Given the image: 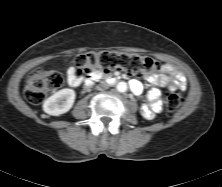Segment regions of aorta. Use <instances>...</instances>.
<instances>
[{"instance_id": "1", "label": "aorta", "mask_w": 222, "mask_h": 187, "mask_svg": "<svg viewBox=\"0 0 222 187\" xmlns=\"http://www.w3.org/2000/svg\"><path fill=\"white\" fill-rule=\"evenodd\" d=\"M116 88L119 92H122V93L126 92L127 91V83L124 81H121L117 84Z\"/></svg>"}]
</instances>
